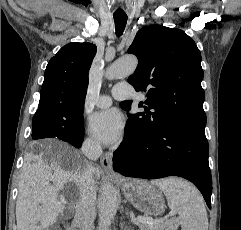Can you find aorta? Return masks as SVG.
Wrapping results in <instances>:
<instances>
[{
  "instance_id": "762f6f07",
  "label": "aorta",
  "mask_w": 241,
  "mask_h": 230,
  "mask_svg": "<svg viewBox=\"0 0 241 230\" xmlns=\"http://www.w3.org/2000/svg\"><path fill=\"white\" fill-rule=\"evenodd\" d=\"M138 60L129 55L113 62L106 72L108 79H121L130 76L136 70ZM119 194L116 188L107 183L103 186L99 206V230H109V226L116 215Z\"/></svg>"
}]
</instances>
